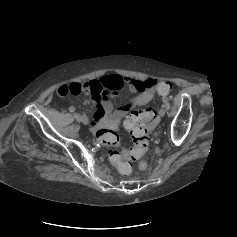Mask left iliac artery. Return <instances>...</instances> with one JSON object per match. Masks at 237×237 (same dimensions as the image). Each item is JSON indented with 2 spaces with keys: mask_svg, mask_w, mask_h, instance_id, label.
I'll use <instances>...</instances> for the list:
<instances>
[{
  "mask_svg": "<svg viewBox=\"0 0 237 237\" xmlns=\"http://www.w3.org/2000/svg\"><path fill=\"white\" fill-rule=\"evenodd\" d=\"M162 101H163L164 104H167L168 103V98L165 97V98H163Z\"/></svg>",
  "mask_w": 237,
  "mask_h": 237,
  "instance_id": "44dca946",
  "label": "left iliac artery"
}]
</instances>
